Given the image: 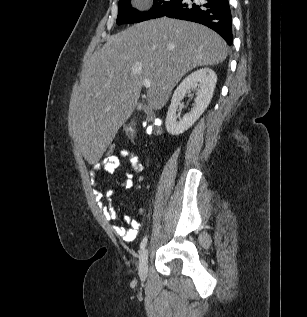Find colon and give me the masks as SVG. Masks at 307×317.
Masks as SVG:
<instances>
[{
	"label": "colon",
	"instance_id": "colon-1",
	"mask_svg": "<svg viewBox=\"0 0 307 317\" xmlns=\"http://www.w3.org/2000/svg\"><path fill=\"white\" fill-rule=\"evenodd\" d=\"M142 126L144 127L146 133L150 136H159L163 130V123L161 120H148L145 119L142 122ZM126 136L134 142L136 139V127L135 123H129L124 127ZM123 149L120 148L117 144H109L103 154V159H110L118 156Z\"/></svg>",
	"mask_w": 307,
	"mask_h": 317
}]
</instances>
